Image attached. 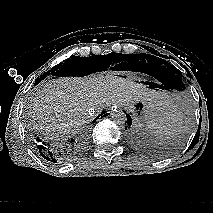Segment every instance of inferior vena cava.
Segmentation results:
<instances>
[{
  "label": "inferior vena cava",
  "instance_id": "obj_1",
  "mask_svg": "<svg viewBox=\"0 0 213 213\" xmlns=\"http://www.w3.org/2000/svg\"><path fill=\"white\" fill-rule=\"evenodd\" d=\"M93 114H94V109H90V110H89V115H90V116H93Z\"/></svg>",
  "mask_w": 213,
  "mask_h": 213
}]
</instances>
